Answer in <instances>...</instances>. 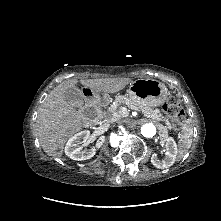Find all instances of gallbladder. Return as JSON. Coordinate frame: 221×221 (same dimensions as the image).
Masks as SVG:
<instances>
[{"label":"gallbladder","instance_id":"gallbladder-1","mask_svg":"<svg viewBox=\"0 0 221 221\" xmlns=\"http://www.w3.org/2000/svg\"><path fill=\"white\" fill-rule=\"evenodd\" d=\"M65 100L72 105L81 106L84 102V97L81 90L77 87H69L64 92Z\"/></svg>","mask_w":221,"mask_h":221}]
</instances>
